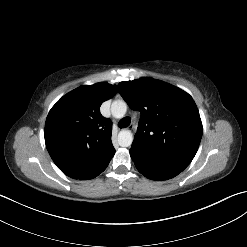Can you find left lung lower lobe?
Instances as JSON below:
<instances>
[{"label":"left lung lower lobe","mask_w":247,"mask_h":247,"mask_svg":"<svg viewBox=\"0 0 247 247\" xmlns=\"http://www.w3.org/2000/svg\"><path fill=\"white\" fill-rule=\"evenodd\" d=\"M130 155L138 171L151 180H168L183 171L134 145L130 148Z\"/></svg>","instance_id":"left-lung-lower-lobe-1"}]
</instances>
